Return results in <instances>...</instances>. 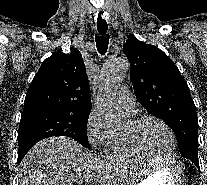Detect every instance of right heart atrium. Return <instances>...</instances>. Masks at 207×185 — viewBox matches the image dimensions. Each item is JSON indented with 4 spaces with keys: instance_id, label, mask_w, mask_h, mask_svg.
Returning <instances> with one entry per match:
<instances>
[{
    "instance_id": "right-heart-atrium-1",
    "label": "right heart atrium",
    "mask_w": 207,
    "mask_h": 185,
    "mask_svg": "<svg viewBox=\"0 0 207 185\" xmlns=\"http://www.w3.org/2000/svg\"><path fill=\"white\" fill-rule=\"evenodd\" d=\"M113 132L104 113L94 108L90 112L86 123V137L90 146L94 149L104 147L110 140Z\"/></svg>"
}]
</instances>
